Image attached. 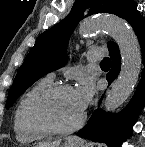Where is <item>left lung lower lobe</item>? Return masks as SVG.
Masks as SVG:
<instances>
[{
    "label": "left lung lower lobe",
    "instance_id": "left-lung-lower-lobe-1",
    "mask_svg": "<svg viewBox=\"0 0 145 147\" xmlns=\"http://www.w3.org/2000/svg\"><path fill=\"white\" fill-rule=\"evenodd\" d=\"M122 18L133 27L140 43L144 65L141 80L134 96L123 111L115 115L103 110H95L88 123L77 133L79 137L103 142L109 147H119L131 135L132 127L145 104V20L137 10L134 1L130 2ZM108 48L112 67L106 79L111 84L120 72L121 57L116 43L111 42Z\"/></svg>",
    "mask_w": 145,
    "mask_h": 147
}]
</instances>
